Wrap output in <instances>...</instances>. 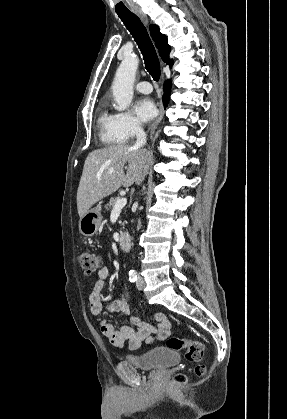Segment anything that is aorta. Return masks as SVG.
I'll return each mask as SVG.
<instances>
[{
  "label": "aorta",
  "mask_w": 287,
  "mask_h": 419,
  "mask_svg": "<svg viewBox=\"0 0 287 419\" xmlns=\"http://www.w3.org/2000/svg\"><path fill=\"white\" fill-rule=\"evenodd\" d=\"M138 64L139 59L136 55H126L116 71L112 91L119 111L127 109L132 101Z\"/></svg>",
  "instance_id": "obj_1"
}]
</instances>
